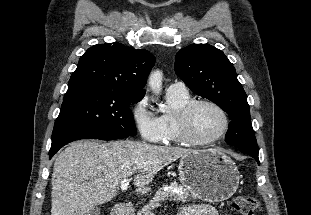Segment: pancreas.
<instances>
[{"label": "pancreas", "instance_id": "pancreas-1", "mask_svg": "<svg viewBox=\"0 0 311 215\" xmlns=\"http://www.w3.org/2000/svg\"><path fill=\"white\" fill-rule=\"evenodd\" d=\"M167 188V190H165ZM177 189L179 192H175ZM191 197L194 199V195H190L188 190L177 183H172L170 186H163L159 188L153 199L146 204L142 210L138 211L137 215H150L151 211L160 206V203L164 200L170 199L176 202L190 201Z\"/></svg>", "mask_w": 311, "mask_h": 215}]
</instances>
